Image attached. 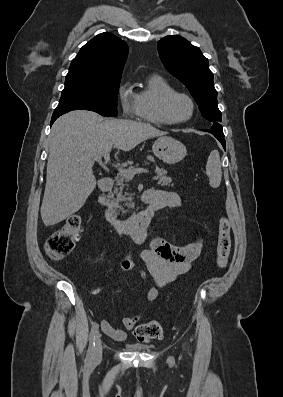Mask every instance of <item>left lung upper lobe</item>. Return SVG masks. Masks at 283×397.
<instances>
[{
  "mask_svg": "<svg viewBox=\"0 0 283 397\" xmlns=\"http://www.w3.org/2000/svg\"><path fill=\"white\" fill-rule=\"evenodd\" d=\"M158 52L165 68L190 91L202 116L214 122L210 130L224 135L218 123L221 122V112L208 59L198 47L178 35L166 36L158 41Z\"/></svg>",
  "mask_w": 283,
  "mask_h": 397,
  "instance_id": "5c2ea615",
  "label": "left lung upper lobe"
}]
</instances>
